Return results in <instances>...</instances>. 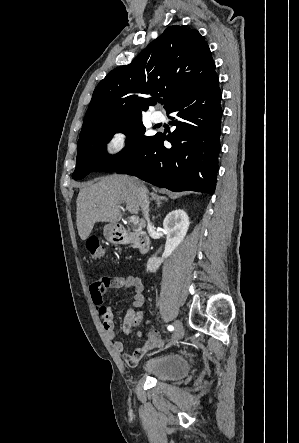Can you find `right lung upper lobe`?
I'll return each mask as SVG.
<instances>
[{
    "mask_svg": "<svg viewBox=\"0 0 299 443\" xmlns=\"http://www.w3.org/2000/svg\"><path fill=\"white\" fill-rule=\"evenodd\" d=\"M215 72L211 51L197 30L170 26L130 64L112 70L94 90L80 137L100 127L142 118L164 96V108L199 89ZM152 98H138L137 94Z\"/></svg>",
    "mask_w": 299,
    "mask_h": 443,
    "instance_id": "cb5924a9",
    "label": "right lung upper lobe"
}]
</instances>
